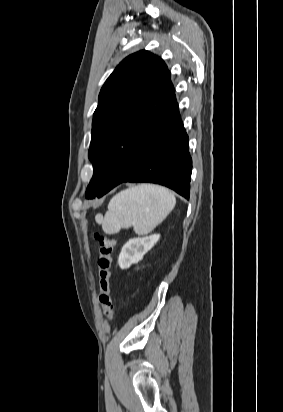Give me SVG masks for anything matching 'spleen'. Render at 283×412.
<instances>
[{"label":"spleen","instance_id":"1","mask_svg":"<svg viewBox=\"0 0 283 412\" xmlns=\"http://www.w3.org/2000/svg\"><path fill=\"white\" fill-rule=\"evenodd\" d=\"M174 194L165 187L140 184L116 194L108 204V211L101 219L107 234L133 227L136 234L146 235L154 230L173 210Z\"/></svg>","mask_w":283,"mask_h":412}]
</instances>
